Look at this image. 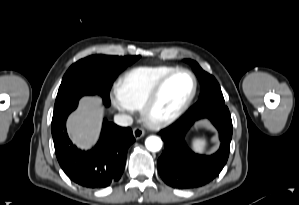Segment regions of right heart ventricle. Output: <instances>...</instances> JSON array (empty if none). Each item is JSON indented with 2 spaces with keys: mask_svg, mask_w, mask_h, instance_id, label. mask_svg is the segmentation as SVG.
<instances>
[{
  "mask_svg": "<svg viewBox=\"0 0 299 205\" xmlns=\"http://www.w3.org/2000/svg\"><path fill=\"white\" fill-rule=\"evenodd\" d=\"M171 66H139L125 72L117 82L116 90L122 102L132 110L141 109L147 96Z\"/></svg>",
  "mask_w": 299,
  "mask_h": 205,
  "instance_id": "1",
  "label": "right heart ventricle"
}]
</instances>
